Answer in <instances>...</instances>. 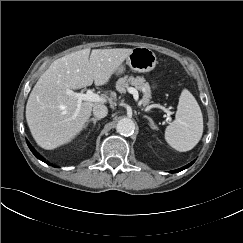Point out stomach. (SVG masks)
Here are the masks:
<instances>
[{
  "instance_id": "0dacf381",
  "label": "stomach",
  "mask_w": 243,
  "mask_h": 243,
  "mask_svg": "<svg viewBox=\"0 0 243 243\" xmlns=\"http://www.w3.org/2000/svg\"><path fill=\"white\" fill-rule=\"evenodd\" d=\"M157 64V57L155 53L146 47H136L132 50L129 56L126 58V65L131 70L139 73L149 72L155 68ZM125 71L124 65L117 68L115 73L117 75L122 74Z\"/></svg>"
}]
</instances>
